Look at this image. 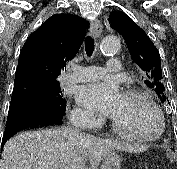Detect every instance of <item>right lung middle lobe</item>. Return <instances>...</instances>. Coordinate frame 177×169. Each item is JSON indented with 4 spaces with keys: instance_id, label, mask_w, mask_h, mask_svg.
I'll list each match as a JSON object with an SVG mask.
<instances>
[{
    "instance_id": "1",
    "label": "right lung middle lobe",
    "mask_w": 177,
    "mask_h": 169,
    "mask_svg": "<svg viewBox=\"0 0 177 169\" xmlns=\"http://www.w3.org/2000/svg\"><path fill=\"white\" fill-rule=\"evenodd\" d=\"M31 89L33 92L30 98L50 103L54 107L65 105L66 101L63 99L58 82L37 81Z\"/></svg>"
}]
</instances>
